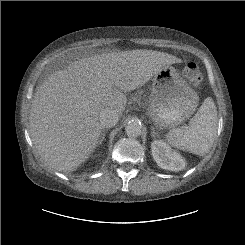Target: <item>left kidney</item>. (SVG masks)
<instances>
[{
    "label": "left kidney",
    "instance_id": "obj_1",
    "mask_svg": "<svg viewBox=\"0 0 245 245\" xmlns=\"http://www.w3.org/2000/svg\"><path fill=\"white\" fill-rule=\"evenodd\" d=\"M152 156L159 167L170 171H181L185 167V159L162 140L151 143Z\"/></svg>",
    "mask_w": 245,
    "mask_h": 245
}]
</instances>
